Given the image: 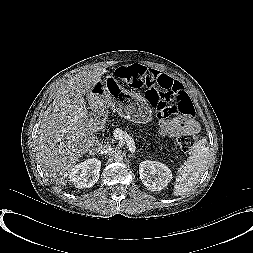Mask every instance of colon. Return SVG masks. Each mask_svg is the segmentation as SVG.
<instances>
[{
	"label": "colon",
	"instance_id": "5ec220e1",
	"mask_svg": "<svg viewBox=\"0 0 253 253\" xmlns=\"http://www.w3.org/2000/svg\"><path fill=\"white\" fill-rule=\"evenodd\" d=\"M119 80L131 88L146 86V98L153 111L161 118L168 119L177 113L183 116H191L194 107L191 98L181 86H168L156 80L151 83L148 79V70L142 65L132 64L121 66L116 70ZM198 140L195 132H188L178 137V145L182 151H189Z\"/></svg>",
	"mask_w": 253,
	"mask_h": 253
}]
</instances>
